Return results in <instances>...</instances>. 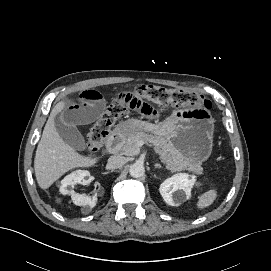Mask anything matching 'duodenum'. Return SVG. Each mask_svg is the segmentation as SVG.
Returning <instances> with one entry per match:
<instances>
[{
	"mask_svg": "<svg viewBox=\"0 0 271 271\" xmlns=\"http://www.w3.org/2000/svg\"><path fill=\"white\" fill-rule=\"evenodd\" d=\"M124 138L123 128L119 127L115 129L107 138L106 146L109 152L117 154L122 146Z\"/></svg>",
	"mask_w": 271,
	"mask_h": 271,
	"instance_id": "duodenum-1",
	"label": "duodenum"
}]
</instances>
